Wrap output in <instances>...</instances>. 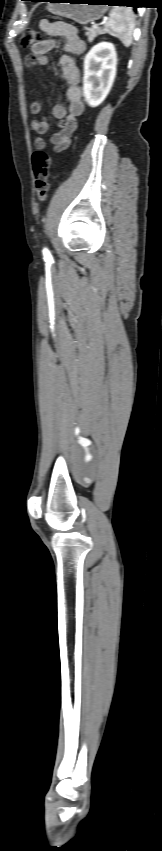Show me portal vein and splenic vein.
Instances as JSON below:
<instances>
[{"label":"portal vein and splenic vein","mask_w":162,"mask_h":851,"mask_svg":"<svg viewBox=\"0 0 162 851\" xmlns=\"http://www.w3.org/2000/svg\"><path fill=\"white\" fill-rule=\"evenodd\" d=\"M92 27H93V28H96V27H97V25H96V24H94Z\"/></svg>","instance_id":"1"}]
</instances>
